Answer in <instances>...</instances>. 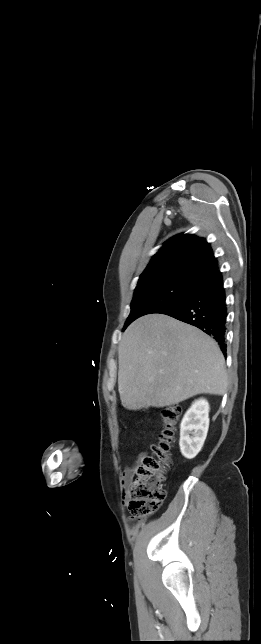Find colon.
Here are the masks:
<instances>
[{"label": "colon", "instance_id": "5ec220e1", "mask_svg": "<svg viewBox=\"0 0 261 644\" xmlns=\"http://www.w3.org/2000/svg\"><path fill=\"white\" fill-rule=\"evenodd\" d=\"M179 405H170L162 411L163 429L158 443L152 446V455L145 456L130 485V511L135 519H144L163 504L166 471L171 465V447L176 425L181 416Z\"/></svg>", "mask_w": 261, "mask_h": 644}]
</instances>
